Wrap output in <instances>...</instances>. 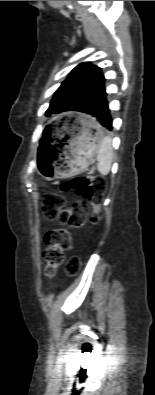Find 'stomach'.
I'll use <instances>...</instances> for the list:
<instances>
[{
    "mask_svg": "<svg viewBox=\"0 0 155 395\" xmlns=\"http://www.w3.org/2000/svg\"><path fill=\"white\" fill-rule=\"evenodd\" d=\"M103 132L97 122L88 115L77 116L72 129L64 136L62 149L53 163L39 167L45 178H65L85 170L98 154Z\"/></svg>",
    "mask_w": 155,
    "mask_h": 395,
    "instance_id": "stomach-1",
    "label": "stomach"
}]
</instances>
